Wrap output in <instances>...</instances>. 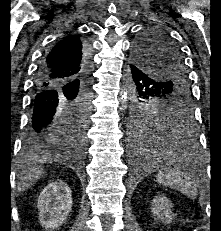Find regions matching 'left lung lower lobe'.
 <instances>
[{
	"instance_id": "obj_1",
	"label": "left lung lower lobe",
	"mask_w": 221,
	"mask_h": 231,
	"mask_svg": "<svg viewBox=\"0 0 221 231\" xmlns=\"http://www.w3.org/2000/svg\"><path fill=\"white\" fill-rule=\"evenodd\" d=\"M130 68L135 96L132 115H135L141 109L142 101L146 97L159 93L165 87V84L151 78L149 74L145 73L136 64L130 65ZM170 128L179 131L183 130V133L180 134L167 130V133L160 131L149 137L138 136L137 133L132 131L131 140L135 152L139 156L145 157L146 160L155 162L158 161L156 151L167 149L170 154L166 158L168 163L182 167L188 166L190 159L196 156L198 150L196 136L193 132L194 123L192 118H184L178 123L171 124Z\"/></svg>"
}]
</instances>
